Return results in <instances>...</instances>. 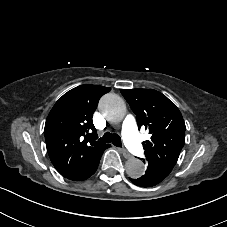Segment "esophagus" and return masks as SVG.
<instances>
[{"instance_id":"34e87169","label":"esophagus","mask_w":227,"mask_h":227,"mask_svg":"<svg viewBox=\"0 0 227 227\" xmlns=\"http://www.w3.org/2000/svg\"><path fill=\"white\" fill-rule=\"evenodd\" d=\"M119 150L124 156V158L131 159L133 157L125 148H120Z\"/></svg>"}]
</instances>
